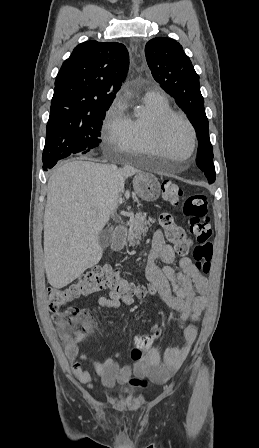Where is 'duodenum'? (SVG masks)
Masks as SVG:
<instances>
[{"instance_id":"1","label":"duodenum","mask_w":259,"mask_h":448,"mask_svg":"<svg viewBox=\"0 0 259 448\" xmlns=\"http://www.w3.org/2000/svg\"><path fill=\"white\" fill-rule=\"evenodd\" d=\"M125 235H126V230L124 227L120 226L114 230L113 236H112V243H111V247L113 250H119L123 247Z\"/></svg>"}]
</instances>
